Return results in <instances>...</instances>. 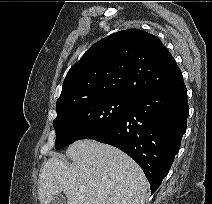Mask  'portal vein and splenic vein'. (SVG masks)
Listing matches in <instances>:
<instances>
[{
    "instance_id": "18ae733b",
    "label": "portal vein and splenic vein",
    "mask_w": 212,
    "mask_h": 204,
    "mask_svg": "<svg viewBox=\"0 0 212 204\" xmlns=\"http://www.w3.org/2000/svg\"><path fill=\"white\" fill-rule=\"evenodd\" d=\"M79 191H80V192L85 191V187H84V186L80 187V188H79Z\"/></svg>"
}]
</instances>
